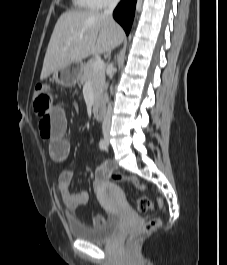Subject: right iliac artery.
Segmentation results:
<instances>
[{
    "label": "right iliac artery",
    "mask_w": 227,
    "mask_h": 265,
    "mask_svg": "<svg viewBox=\"0 0 227 265\" xmlns=\"http://www.w3.org/2000/svg\"><path fill=\"white\" fill-rule=\"evenodd\" d=\"M99 147H100L101 150H105L106 149L105 140H103V139L100 140Z\"/></svg>",
    "instance_id": "right-iliac-artery-1"
}]
</instances>
